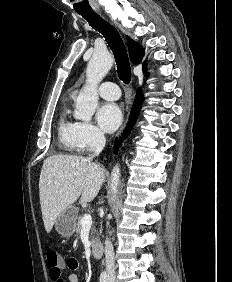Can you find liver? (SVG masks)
I'll return each mask as SVG.
<instances>
[{"mask_svg": "<svg viewBox=\"0 0 232 282\" xmlns=\"http://www.w3.org/2000/svg\"><path fill=\"white\" fill-rule=\"evenodd\" d=\"M104 169L87 158L53 155L44 162L39 179V197L44 227L53 228L60 213L75 203L92 201L104 181Z\"/></svg>", "mask_w": 232, "mask_h": 282, "instance_id": "1", "label": "liver"}]
</instances>
